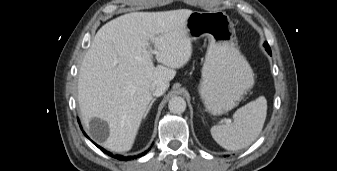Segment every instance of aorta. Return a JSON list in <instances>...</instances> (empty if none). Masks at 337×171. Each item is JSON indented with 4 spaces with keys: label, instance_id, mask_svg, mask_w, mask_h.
Returning <instances> with one entry per match:
<instances>
[{
    "label": "aorta",
    "instance_id": "762f6f07",
    "mask_svg": "<svg viewBox=\"0 0 337 171\" xmlns=\"http://www.w3.org/2000/svg\"><path fill=\"white\" fill-rule=\"evenodd\" d=\"M168 107L170 112L181 114L186 109V101L182 97L174 96L169 100Z\"/></svg>",
    "mask_w": 337,
    "mask_h": 171
}]
</instances>
